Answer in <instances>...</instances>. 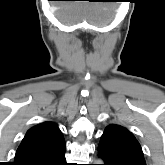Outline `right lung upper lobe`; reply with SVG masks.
Returning a JSON list of instances; mask_svg holds the SVG:
<instances>
[{
    "instance_id": "cb5924a9",
    "label": "right lung upper lobe",
    "mask_w": 165,
    "mask_h": 165,
    "mask_svg": "<svg viewBox=\"0 0 165 165\" xmlns=\"http://www.w3.org/2000/svg\"><path fill=\"white\" fill-rule=\"evenodd\" d=\"M62 137V132L55 123L44 122L32 127L18 147L13 165H25L44 153L46 146Z\"/></svg>"
}]
</instances>
